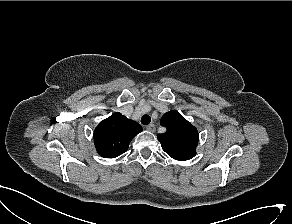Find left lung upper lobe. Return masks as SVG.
Segmentation results:
<instances>
[{
	"mask_svg": "<svg viewBox=\"0 0 292 224\" xmlns=\"http://www.w3.org/2000/svg\"><path fill=\"white\" fill-rule=\"evenodd\" d=\"M161 124L166 126L165 134L158 135L162 149L175 160H189L196 155L199 141L197 129L177 111L165 113Z\"/></svg>",
	"mask_w": 292,
	"mask_h": 224,
	"instance_id": "left-lung-upper-lobe-1",
	"label": "left lung upper lobe"
}]
</instances>
